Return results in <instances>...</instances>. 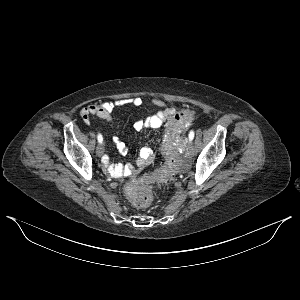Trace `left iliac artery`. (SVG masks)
Instances as JSON below:
<instances>
[{"instance_id": "left-iliac-artery-1", "label": "left iliac artery", "mask_w": 300, "mask_h": 300, "mask_svg": "<svg viewBox=\"0 0 300 300\" xmlns=\"http://www.w3.org/2000/svg\"><path fill=\"white\" fill-rule=\"evenodd\" d=\"M193 138H194V131L193 130H191L190 132H189V140H193Z\"/></svg>"}]
</instances>
